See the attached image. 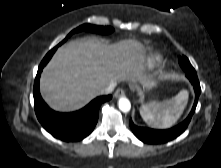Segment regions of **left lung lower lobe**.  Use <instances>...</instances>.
I'll use <instances>...</instances> for the list:
<instances>
[{"label":"left lung lower lobe","mask_w":221,"mask_h":168,"mask_svg":"<svg viewBox=\"0 0 221 168\" xmlns=\"http://www.w3.org/2000/svg\"><path fill=\"white\" fill-rule=\"evenodd\" d=\"M186 76L190 80V82L193 85L194 90H195L194 105H193L192 110L189 113L188 117L183 122L178 124L177 126H174L170 129H166V130H156V129L139 127V126L134 125L132 120H130L129 125H130L134 135L139 140H141L142 142L147 143V144H162V143H166L168 141L175 139L176 137H178L180 134H182L186 130V128L192 118V115L195 112L198 98L201 93V88H200L197 74H188Z\"/></svg>","instance_id":"left-lung-lower-lobe-1"}]
</instances>
